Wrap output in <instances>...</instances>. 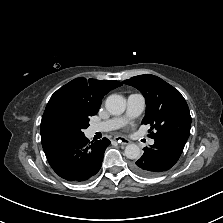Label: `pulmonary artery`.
Masks as SVG:
<instances>
[{"instance_id": "pulmonary-artery-1", "label": "pulmonary artery", "mask_w": 223, "mask_h": 223, "mask_svg": "<svg viewBox=\"0 0 223 223\" xmlns=\"http://www.w3.org/2000/svg\"><path fill=\"white\" fill-rule=\"evenodd\" d=\"M144 107L145 99L141 94H130L127 97V108L124 115L113 117L99 123H94L90 126L89 132L94 134L97 132H106L119 129L124 126L129 120L138 117L143 112ZM149 144L153 145L154 140L150 139Z\"/></svg>"}]
</instances>
